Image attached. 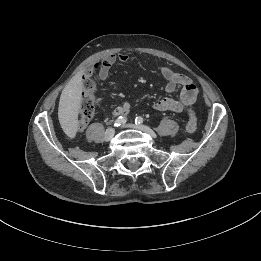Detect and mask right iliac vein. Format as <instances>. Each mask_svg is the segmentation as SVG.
I'll list each match as a JSON object with an SVG mask.
<instances>
[{
    "label": "right iliac vein",
    "instance_id": "1",
    "mask_svg": "<svg viewBox=\"0 0 261 261\" xmlns=\"http://www.w3.org/2000/svg\"><path fill=\"white\" fill-rule=\"evenodd\" d=\"M114 134H115V130L113 128L107 129L104 134V140L107 142L112 140V138L114 137Z\"/></svg>",
    "mask_w": 261,
    "mask_h": 261
}]
</instances>
